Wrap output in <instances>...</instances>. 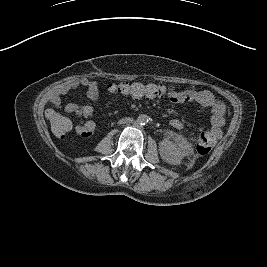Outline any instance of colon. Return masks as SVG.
Returning a JSON list of instances; mask_svg holds the SVG:
<instances>
[{
  "label": "colon",
  "instance_id": "5ec220e1",
  "mask_svg": "<svg viewBox=\"0 0 267 267\" xmlns=\"http://www.w3.org/2000/svg\"><path fill=\"white\" fill-rule=\"evenodd\" d=\"M110 90L124 97H165L169 94V90L161 85L156 84H141L124 82L110 87ZM80 117L79 113H76ZM49 123L53 134L57 137L64 138L70 132L72 123L71 120L63 115L54 114L49 116ZM91 131H87L85 135H91ZM84 135V134H83ZM212 139L207 133H202L199 137L196 152L200 156L209 154L212 149Z\"/></svg>",
  "mask_w": 267,
  "mask_h": 267
}]
</instances>
